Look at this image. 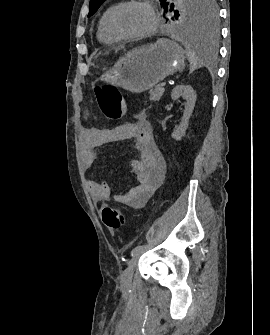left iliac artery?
<instances>
[{
    "label": "left iliac artery",
    "mask_w": 270,
    "mask_h": 335,
    "mask_svg": "<svg viewBox=\"0 0 270 335\" xmlns=\"http://www.w3.org/2000/svg\"><path fill=\"white\" fill-rule=\"evenodd\" d=\"M149 246L148 245H139L136 246L134 249L131 251V255L133 256L134 254L138 252H142L143 250L147 249Z\"/></svg>",
    "instance_id": "44dca946"
}]
</instances>
